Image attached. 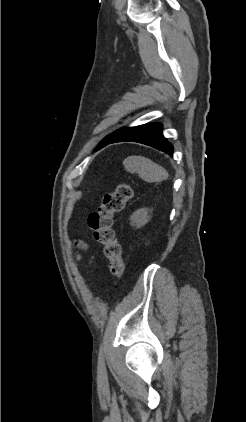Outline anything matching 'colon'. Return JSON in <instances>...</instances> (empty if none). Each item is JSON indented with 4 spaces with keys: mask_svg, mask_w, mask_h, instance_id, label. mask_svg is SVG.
<instances>
[{
    "mask_svg": "<svg viewBox=\"0 0 246 422\" xmlns=\"http://www.w3.org/2000/svg\"><path fill=\"white\" fill-rule=\"evenodd\" d=\"M132 188L128 183H120L116 189L103 197L98 209L88 216V226L94 239L103 245L104 253L109 260L111 273L120 279L125 271L121 245L112 228L114 215L121 211L132 198Z\"/></svg>",
    "mask_w": 246,
    "mask_h": 422,
    "instance_id": "colon-1",
    "label": "colon"
}]
</instances>
